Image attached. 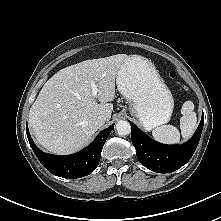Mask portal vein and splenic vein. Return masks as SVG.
<instances>
[{
	"instance_id": "1",
	"label": "portal vein and splenic vein",
	"mask_w": 221,
	"mask_h": 221,
	"mask_svg": "<svg viewBox=\"0 0 221 221\" xmlns=\"http://www.w3.org/2000/svg\"><path fill=\"white\" fill-rule=\"evenodd\" d=\"M91 89H92V96L96 97L98 92H99V90H98V88H97V86H96L94 81L91 82Z\"/></svg>"
}]
</instances>
